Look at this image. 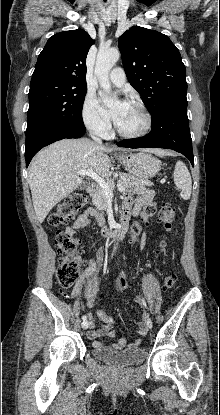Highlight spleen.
<instances>
[{
    "mask_svg": "<svg viewBox=\"0 0 220 415\" xmlns=\"http://www.w3.org/2000/svg\"><path fill=\"white\" fill-rule=\"evenodd\" d=\"M154 153L160 157L168 155L167 152L156 150ZM174 183L181 190V197L188 200L191 196L192 181L191 175L182 161H178L174 170Z\"/></svg>",
    "mask_w": 220,
    "mask_h": 415,
    "instance_id": "obj_1",
    "label": "spleen"
}]
</instances>
